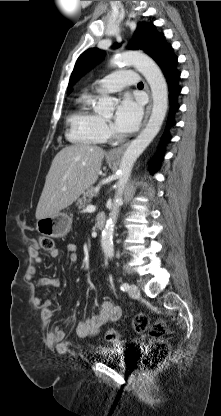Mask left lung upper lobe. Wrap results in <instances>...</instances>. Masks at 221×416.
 <instances>
[{
	"instance_id": "left-lung-upper-lobe-1",
	"label": "left lung upper lobe",
	"mask_w": 221,
	"mask_h": 416,
	"mask_svg": "<svg viewBox=\"0 0 221 416\" xmlns=\"http://www.w3.org/2000/svg\"><path fill=\"white\" fill-rule=\"evenodd\" d=\"M162 35V33L159 34L156 32L153 24L139 23L128 48L132 50H144L149 55ZM115 47H118V45L116 44ZM102 58L103 52L97 48H90L83 52L77 59L68 88Z\"/></svg>"
}]
</instances>
